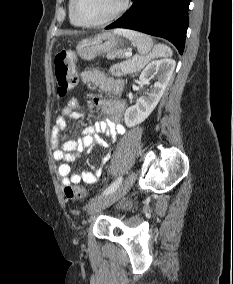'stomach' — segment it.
Wrapping results in <instances>:
<instances>
[{"mask_svg": "<svg viewBox=\"0 0 233 284\" xmlns=\"http://www.w3.org/2000/svg\"><path fill=\"white\" fill-rule=\"evenodd\" d=\"M116 50H124L122 39L120 35L109 31L83 39L76 47L77 54L84 60H92L100 54Z\"/></svg>", "mask_w": 233, "mask_h": 284, "instance_id": "obj_1", "label": "stomach"}]
</instances>
